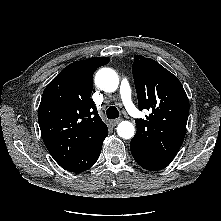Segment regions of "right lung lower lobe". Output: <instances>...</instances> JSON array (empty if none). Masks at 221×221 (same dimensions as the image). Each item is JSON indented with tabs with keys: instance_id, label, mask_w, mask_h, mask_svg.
<instances>
[{
	"instance_id": "1",
	"label": "right lung lower lobe",
	"mask_w": 221,
	"mask_h": 221,
	"mask_svg": "<svg viewBox=\"0 0 221 221\" xmlns=\"http://www.w3.org/2000/svg\"><path fill=\"white\" fill-rule=\"evenodd\" d=\"M107 135L108 128L102 135L92 141L87 148L80 151L73 159L61 165V167L70 172H83L92 167L100 155L103 140Z\"/></svg>"
}]
</instances>
